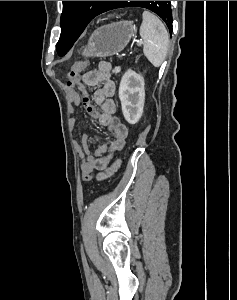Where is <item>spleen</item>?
<instances>
[{
    "instance_id": "spleen-1",
    "label": "spleen",
    "mask_w": 237,
    "mask_h": 300,
    "mask_svg": "<svg viewBox=\"0 0 237 300\" xmlns=\"http://www.w3.org/2000/svg\"><path fill=\"white\" fill-rule=\"evenodd\" d=\"M140 37L143 39V53L153 67H160L167 55L169 35L160 19L144 11L140 27Z\"/></svg>"
}]
</instances>
